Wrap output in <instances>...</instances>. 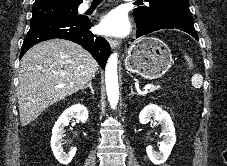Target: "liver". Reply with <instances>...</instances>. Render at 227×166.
Returning a JSON list of instances; mask_svg holds the SVG:
<instances>
[{
  "instance_id": "liver-1",
  "label": "liver",
  "mask_w": 227,
  "mask_h": 166,
  "mask_svg": "<svg viewBox=\"0 0 227 166\" xmlns=\"http://www.w3.org/2000/svg\"><path fill=\"white\" fill-rule=\"evenodd\" d=\"M97 69L96 60L72 41L51 39L28 50L21 60L17 89L22 126L50 105L84 89Z\"/></svg>"
}]
</instances>
